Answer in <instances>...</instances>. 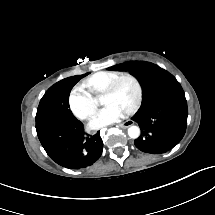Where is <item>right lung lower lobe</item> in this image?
Listing matches in <instances>:
<instances>
[{"mask_svg":"<svg viewBox=\"0 0 215 215\" xmlns=\"http://www.w3.org/2000/svg\"><path fill=\"white\" fill-rule=\"evenodd\" d=\"M38 138L49 157L60 166L81 169L91 166L101 156L100 132L84 134L82 122L51 123L36 127Z\"/></svg>","mask_w":215,"mask_h":215,"instance_id":"right-lung-lower-lobe-1","label":"right lung lower lobe"}]
</instances>
